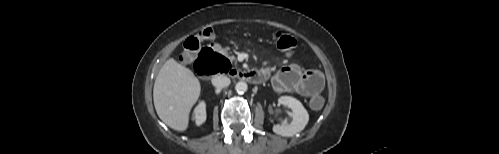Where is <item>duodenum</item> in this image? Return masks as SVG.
I'll return each instance as SVG.
<instances>
[{
    "mask_svg": "<svg viewBox=\"0 0 499 154\" xmlns=\"http://www.w3.org/2000/svg\"><path fill=\"white\" fill-rule=\"evenodd\" d=\"M215 58H222L220 54L210 50L206 55L200 57L196 62L197 73L201 76H209L219 66ZM234 78L242 81H247L252 84H260L265 81V76L257 71H242L235 72Z\"/></svg>",
    "mask_w": 499,
    "mask_h": 154,
    "instance_id": "1",
    "label": "duodenum"
}]
</instances>
